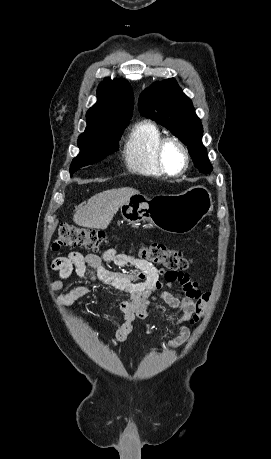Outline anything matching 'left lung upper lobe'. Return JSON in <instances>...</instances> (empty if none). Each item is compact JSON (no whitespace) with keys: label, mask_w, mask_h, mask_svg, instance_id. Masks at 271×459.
Wrapping results in <instances>:
<instances>
[{"label":"left lung upper lobe","mask_w":271,"mask_h":459,"mask_svg":"<svg viewBox=\"0 0 271 459\" xmlns=\"http://www.w3.org/2000/svg\"><path fill=\"white\" fill-rule=\"evenodd\" d=\"M139 111L169 129L187 145L194 166L202 173L212 171L207 150L202 144L203 128L191 100L171 79L154 83L139 97Z\"/></svg>","instance_id":"1"}]
</instances>
